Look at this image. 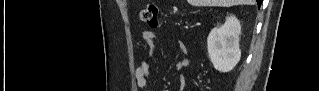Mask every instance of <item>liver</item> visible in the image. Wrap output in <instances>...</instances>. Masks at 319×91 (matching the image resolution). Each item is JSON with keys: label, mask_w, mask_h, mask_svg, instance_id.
<instances>
[{"label": "liver", "mask_w": 319, "mask_h": 91, "mask_svg": "<svg viewBox=\"0 0 319 91\" xmlns=\"http://www.w3.org/2000/svg\"><path fill=\"white\" fill-rule=\"evenodd\" d=\"M193 6L231 7L234 5H254L255 0H188Z\"/></svg>", "instance_id": "6515ba94"}]
</instances>
